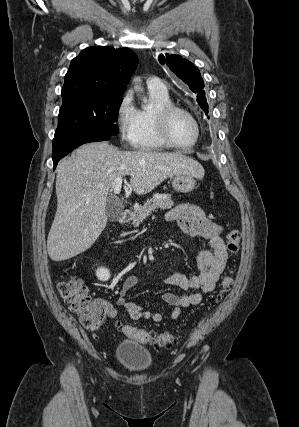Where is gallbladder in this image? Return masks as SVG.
<instances>
[{"label":"gallbladder","instance_id":"1","mask_svg":"<svg viewBox=\"0 0 299 427\" xmlns=\"http://www.w3.org/2000/svg\"><path fill=\"white\" fill-rule=\"evenodd\" d=\"M106 215L110 221H118L121 219L123 215V204L119 198L110 196L107 199Z\"/></svg>","mask_w":299,"mask_h":427}]
</instances>
